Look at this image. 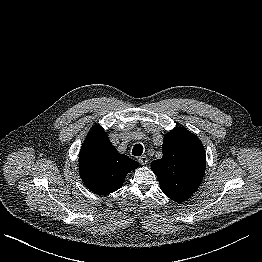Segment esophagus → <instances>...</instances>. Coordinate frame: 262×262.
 <instances>
[{
    "label": "esophagus",
    "mask_w": 262,
    "mask_h": 262,
    "mask_svg": "<svg viewBox=\"0 0 262 262\" xmlns=\"http://www.w3.org/2000/svg\"><path fill=\"white\" fill-rule=\"evenodd\" d=\"M138 160L142 165H146L148 163V158L146 157V155H142L141 157H139Z\"/></svg>",
    "instance_id": "obj_1"
}]
</instances>
